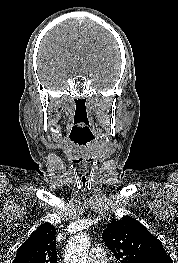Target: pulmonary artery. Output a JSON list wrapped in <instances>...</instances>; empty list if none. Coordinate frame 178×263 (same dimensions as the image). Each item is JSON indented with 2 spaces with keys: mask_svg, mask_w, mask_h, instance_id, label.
<instances>
[{
  "mask_svg": "<svg viewBox=\"0 0 178 263\" xmlns=\"http://www.w3.org/2000/svg\"><path fill=\"white\" fill-rule=\"evenodd\" d=\"M88 259L89 263H106L107 255L102 248H92Z\"/></svg>",
  "mask_w": 178,
  "mask_h": 263,
  "instance_id": "e3ab8cb5",
  "label": "pulmonary artery"
}]
</instances>
